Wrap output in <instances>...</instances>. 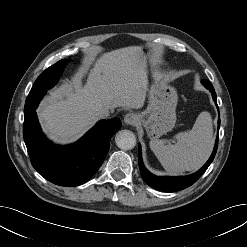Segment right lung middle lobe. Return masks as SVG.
Segmentation results:
<instances>
[{
  "label": "right lung middle lobe",
  "mask_w": 247,
  "mask_h": 247,
  "mask_svg": "<svg viewBox=\"0 0 247 247\" xmlns=\"http://www.w3.org/2000/svg\"><path fill=\"white\" fill-rule=\"evenodd\" d=\"M67 63V59L60 60L43 71L35 81L28 96L39 97L44 95L46 90L50 89L57 83Z\"/></svg>",
  "instance_id": "right-lung-middle-lobe-1"
}]
</instances>
